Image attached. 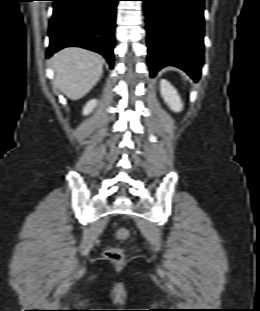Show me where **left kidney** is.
Returning <instances> with one entry per match:
<instances>
[{"mask_svg": "<svg viewBox=\"0 0 260 311\" xmlns=\"http://www.w3.org/2000/svg\"><path fill=\"white\" fill-rule=\"evenodd\" d=\"M160 92L170 109L174 112H180L183 109V103L177 90L166 79L160 81Z\"/></svg>", "mask_w": 260, "mask_h": 311, "instance_id": "1", "label": "left kidney"}]
</instances>
